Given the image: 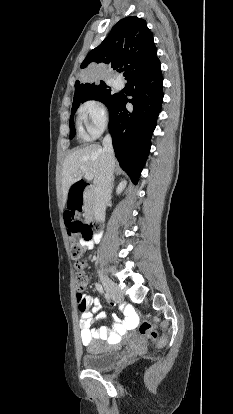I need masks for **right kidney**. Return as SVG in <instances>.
<instances>
[{"mask_svg":"<svg viewBox=\"0 0 233 414\" xmlns=\"http://www.w3.org/2000/svg\"><path fill=\"white\" fill-rule=\"evenodd\" d=\"M126 186V181H121L117 187V194H120Z\"/></svg>","mask_w":233,"mask_h":414,"instance_id":"obj_1","label":"right kidney"}]
</instances>
